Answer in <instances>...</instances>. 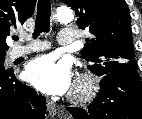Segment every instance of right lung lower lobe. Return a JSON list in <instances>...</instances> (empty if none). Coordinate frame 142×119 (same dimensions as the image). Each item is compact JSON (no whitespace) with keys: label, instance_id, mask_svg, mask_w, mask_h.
Here are the masks:
<instances>
[{"label":"right lung lower lobe","instance_id":"98d812e1","mask_svg":"<svg viewBox=\"0 0 142 119\" xmlns=\"http://www.w3.org/2000/svg\"><path fill=\"white\" fill-rule=\"evenodd\" d=\"M46 100L19 82L13 70L0 72V119H44Z\"/></svg>","mask_w":142,"mask_h":119}]
</instances>
